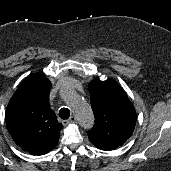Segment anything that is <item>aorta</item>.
<instances>
[{
  "label": "aorta",
  "mask_w": 171,
  "mask_h": 171,
  "mask_svg": "<svg viewBox=\"0 0 171 171\" xmlns=\"http://www.w3.org/2000/svg\"><path fill=\"white\" fill-rule=\"evenodd\" d=\"M61 95L75 113L80 126L90 129L94 124V115L90 105L70 89H63Z\"/></svg>",
  "instance_id": "762f6f07"
}]
</instances>
